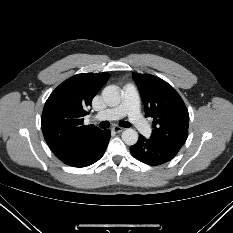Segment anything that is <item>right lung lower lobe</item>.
<instances>
[{
    "instance_id": "98d812e1",
    "label": "right lung lower lobe",
    "mask_w": 233,
    "mask_h": 233,
    "mask_svg": "<svg viewBox=\"0 0 233 233\" xmlns=\"http://www.w3.org/2000/svg\"><path fill=\"white\" fill-rule=\"evenodd\" d=\"M110 137L109 129L100 130L85 140L77 149L59 159L73 167L89 166L103 156Z\"/></svg>"
}]
</instances>
